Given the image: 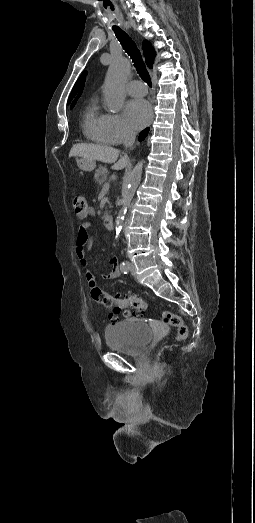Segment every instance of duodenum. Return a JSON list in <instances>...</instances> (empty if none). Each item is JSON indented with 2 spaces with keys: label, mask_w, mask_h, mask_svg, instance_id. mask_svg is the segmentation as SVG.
<instances>
[{
  "label": "duodenum",
  "mask_w": 255,
  "mask_h": 523,
  "mask_svg": "<svg viewBox=\"0 0 255 523\" xmlns=\"http://www.w3.org/2000/svg\"><path fill=\"white\" fill-rule=\"evenodd\" d=\"M104 224L108 230H112L114 228V219L112 215H106L104 217Z\"/></svg>",
  "instance_id": "1"
}]
</instances>
